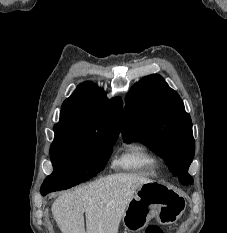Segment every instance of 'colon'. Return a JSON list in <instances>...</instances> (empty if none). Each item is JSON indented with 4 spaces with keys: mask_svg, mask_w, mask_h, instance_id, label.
Here are the masks:
<instances>
[{
    "mask_svg": "<svg viewBox=\"0 0 227 233\" xmlns=\"http://www.w3.org/2000/svg\"><path fill=\"white\" fill-rule=\"evenodd\" d=\"M144 233H163L157 226H148Z\"/></svg>",
    "mask_w": 227,
    "mask_h": 233,
    "instance_id": "5ec220e1",
    "label": "colon"
}]
</instances>
